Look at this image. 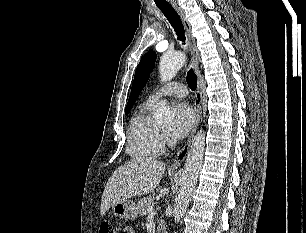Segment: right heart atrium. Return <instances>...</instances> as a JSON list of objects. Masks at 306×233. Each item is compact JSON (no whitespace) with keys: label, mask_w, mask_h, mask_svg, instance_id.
Listing matches in <instances>:
<instances>
[{"label":"right heart atrium","mask_w":306,"mask_h":233,"mask_svg":"<svg viewBox=\"0 0 306 233\" xmlns=\"http://www.w3.org/2000/svg\"><path fill=\"white\" fill-rule=\"evenodd\" d=\"M161 141H162V149L170 144V139H169L168 135H166V134L161 135Z\"/></svg>","instance_id":"obj_1"}]
</instances>
